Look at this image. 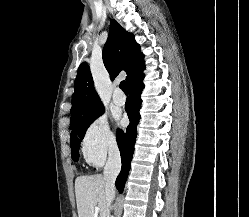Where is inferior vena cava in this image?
<instances>
[{
	"label": "inferior vena cava",
	"instance_id": "inferior-vena-cava-1",
	"mask_svg": "<svg viewBox=\"0 0 249 217\" xmlns=\"http://www.w3.org/2000/svg\"><path fill=\"white\" fill-rule=\"evenodd\" d=\"M121 170V157L115 142L109 146L108 160L104 167V179L106 181V204L109 208L115 197V180Z\"/></svg>",
	"mask_w": 249,
	"mask_h": 217
}]
</instances>
